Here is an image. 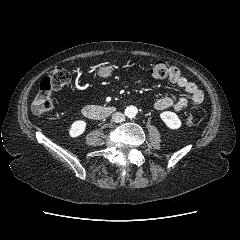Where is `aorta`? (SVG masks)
<instances>
[{
  "mask_svg": "<svg viewBox=\"0 0 240 240\" xmlns=\"http://www.w3.org/2000/svg\"><path fill=\"white\" fill-rule=\"evenodd\" d=\"M137 113H138V109L133 105H130L125 109V115L128 116L129 118L135 117Z\"/></svg>",
  "mask_w": 240,
  "mask_h": 240,
  "instance_id": "obj_1",
  "label": "aorta"
}]
</instances>
